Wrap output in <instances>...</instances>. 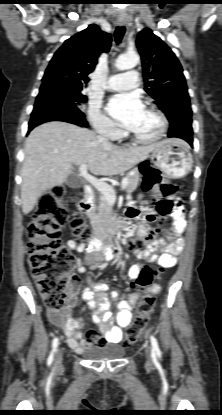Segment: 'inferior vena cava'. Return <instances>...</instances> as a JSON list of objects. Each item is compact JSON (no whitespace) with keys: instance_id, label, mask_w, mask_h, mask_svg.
<instances>
[{"instance_id":"obj_1","label":"inferior vena cava","mask_w":222,"mask_h":415,"mask_svg":"<svg viewBox=\"0 0 222 415\" xmlns=\"http://www.w3.org/2000/svg\"><path fill=\"white\" fill-rule=\"evenodd\" d=\"M97 139L99 140V142H101L103 144H110L108 138L104 135L97 136Z\"/></svg>"}]
</instances>
